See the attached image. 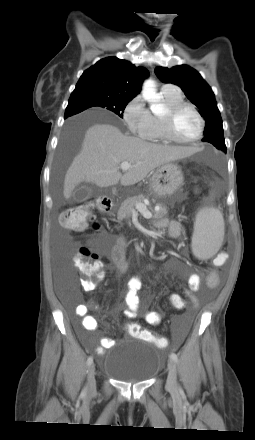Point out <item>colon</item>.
<instances>
[{
	"label": "colon",
	"instance_id": "1",
	"mask_svg": "<svg viewBox=\"0 0 255 440\" xmlns=\"http://www.w3.org/2000/svg\"><path fill=\"white\" fill-rule=\"evenodd\" d=\"M92 210L93 206L91 204H81L66 209L60 215V224L71 230H84L93 220ZM94 257L95 255L92 251L82 248L76 259V267L84 276L82 284L89 289L94 286L95 279L102 272L100 265L92 261ZM169 302L173 311H184L189 300L188 298H171ZM127 329L132 336L150 342L153 346L165 347L168 344L165 334H156L138 323H128Z\"/></svg>",
	"mask_w": 255,
	"mask_h": 440
}]
</instances>
